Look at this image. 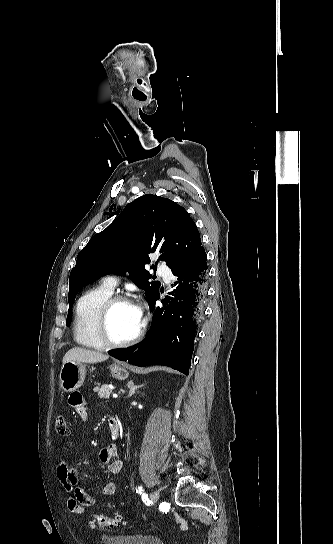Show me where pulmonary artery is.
Instances as JSON below:
<instances>
[{
  "mask_svg": "<svg viewBox=\"0 0 333 544\" xmlns=\"http://www.w3.org/2000/svg\"><path fill=\"white\" fill-rule=\"evenodd\" d=\"M158 274L162 276L167 282L171 280V272L167 266L161 264L158 267ZM102 284L113 291L117 285V279L113 276H107L103 279Z\"/></svg>",
  "mask_w": 333,
  "mask_h": 544,
  "instance_id": "e3ab8cb5",
  "label": "pulmonary artery"
}]
</instances>
